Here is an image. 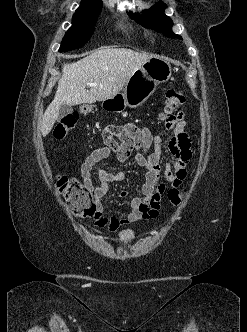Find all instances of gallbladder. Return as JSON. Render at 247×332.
Instances as JSON below:
<instances>
[{"label":"gallbladder","instance_id":"obj_1","mask_svg":"<svg viewBox=\"0 0 247 332\" xmlns=\"http://www.w3.org/2000/svg\"><path fill=\"white\" fill-rule=\"evenodd\" d=\"M72 107L66 103L62 104L59 109V117H64L72 112Z\"/></svg>","mask_w":247,"mask_h":332}]
</instances>
